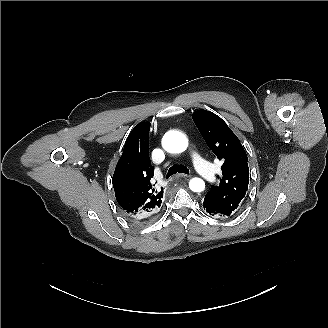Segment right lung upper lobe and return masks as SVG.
<instances>
[{
    "label": "right lung upper lobe",
    "mask_w": 328,
    "mask_h": 328,
    "mask_svg": "<svg viewBox=\"0 0 328 328\" xmlns=\"http://www.w3.org/2000/svg\"><path fill=\"white\" fill-rule=\"evenodd\" d=\"M150 123H139L129 134L119 159L112 184L116 199L126 216L146 223L162 210L163 188L151 182L154 168L149 159Z\"/></svg>",
    "instance_id": "1"
}]
</instances>
